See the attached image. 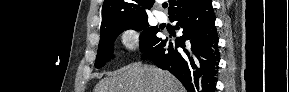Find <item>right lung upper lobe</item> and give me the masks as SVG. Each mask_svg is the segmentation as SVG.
<instances>
[{
	"label": "right lung upper lobe",
	"instance_id": "1",
	"mask_svg": "<svg viewBox=\"0 0 289 92\" xmlns=\"http://www.w3.org/2000/svg\"><path fill=\"white\" fill-rule=\"evenodd\" d=\"M204 0H169V18L178 12L200 5ZM154 0H105L102 7L101 31L116 23L148 18Z\"/></svg>",
	"mask_w": 289,
	"mask_h": 92
}]
</instances>
